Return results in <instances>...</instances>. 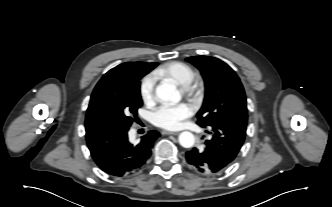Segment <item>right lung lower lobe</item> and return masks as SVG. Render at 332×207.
<instances>
[{
	"label": "right lung lower lobe",
	"mask_w": 332,
	"mask_h": 207,
	"mask_svg": "<svg viewBox=\"0 0 332 207\" xmlns=\"http://www.w3.org/2000/svg\"><path fill=\"white\" fill-rule=\"evenodd\" d=\"M129 129H110L86 135L87 145L96 164L115 177L139 171L151 156L155 140L160 136L150 131L134 145L128 141Z\"/></svg>",
	"instance_id": "obj_1"
}]
</instances>
